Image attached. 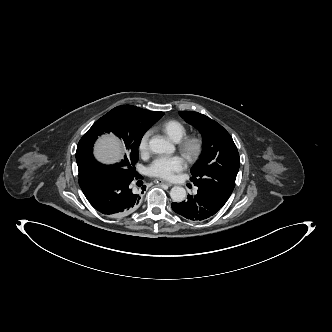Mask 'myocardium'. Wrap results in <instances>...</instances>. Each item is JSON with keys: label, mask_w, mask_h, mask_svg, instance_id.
Returning a JSON list of instances; mask_svg holds the SVG:
<instances>
[{"label": "myocardium", "mask_w": 332, "mask_h": 332, "mask_svg": "<svg viewBox=\"0 0 332 332\" xmlns=\"http://www.w3.org/2000/svg\"><path fill=\"white\" fill-rule=\"evenodd\" d=\"M203 149L204 140L200 136H186L179 141V150L189 162L196 161L201 156Z\"/></svg>", "instance_id": "obj_1"}]
</instances>
